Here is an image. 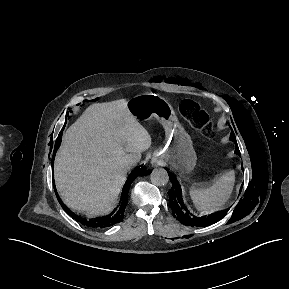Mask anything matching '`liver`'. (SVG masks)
<instances>
[{
    "label": "liver",
    "mask_w": 289,
    "mask_h": 289,
    "mask_svg": "<svg viewBox=\"0 0 289 289\" xmlns=\"http://www.w3.org/2000/svg\"><path fill=\"white\" fill-rule=\"evenodd\" d=\"M124 99L89 106L64 133L54 161L62 201L89 217L116 205L130 160L141 159L151 137Z\"/></svg>",
    "instance_id": "liver-1"
}]
</instances>
